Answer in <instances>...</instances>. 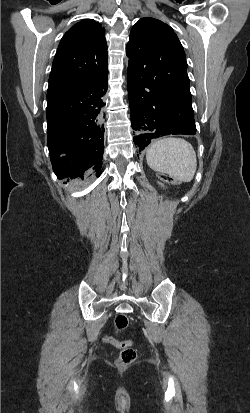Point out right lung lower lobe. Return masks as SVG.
<instances>
[{
    "label": "right lung lower lobe",
    "instance_id": "right-lung-lower-lobe-1",
    "mask_svg": "<svg viewBox=\"0 0 250 413\" xmlns=\"http://www.w3.org/2000/svg\"><path fill=\"white\" fill-rule=\"evenodd\" d=\"M107 78L108 70L89 82L47 92V143L58 179L102 173Z\"/></svg>",
    "mask_w": 250,
    "mask_h": 413
}]
</instances>
